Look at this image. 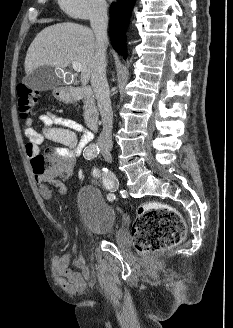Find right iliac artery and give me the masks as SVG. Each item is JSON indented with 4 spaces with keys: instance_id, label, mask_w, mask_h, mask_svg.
Returning a JSON list of instances; mask_svg holds the SVG:
<instances>
[{
    "instance_id": "82829eb1",
    "label": "right iliac artery",
    "mask_w": 233,
    "mask_h": 328,
    "mask_svg": "<svg viewBox=\"0 0 233 328\" xmlns=\"http://www.w3.org/2000/svg\"><path fill=\"white\" fill-rule=\"evenodd\" d=\"M99 148L95 144L90 145L84 153V157L87 160H91L99 154ZM102 186L107 190V199L109 201H114L116 196L114 192L117 189V185L115 184V176L111 174L109 171H105L104 176L101 180Z\"/></svg>"
}]
</instances>
